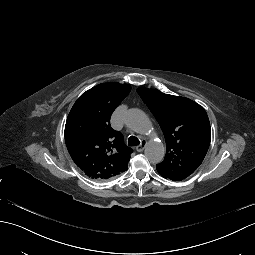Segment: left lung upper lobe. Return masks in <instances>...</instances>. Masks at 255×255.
<instances>
[{
    "mask_svg": "<svg viewBox=\"0 0 255 255\" xmlns=\"http://www.w3.org/2000/svg\"><path fill=\"white\" fill-rule=\"evenodd\" d=\"M137 92L157 119L166 140L165 159L156 166L157 171L173 181L187 178L200 166L210 145L206 111L188 98L156 89L139 88Z\"/></svg>",
    "mask_w": 255,
    "mask_h": 255,
    "instance_id": "left-lung-upper-lobe-1",
    "label": "left lung upper lobe"
}]
</instances>
